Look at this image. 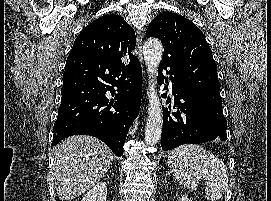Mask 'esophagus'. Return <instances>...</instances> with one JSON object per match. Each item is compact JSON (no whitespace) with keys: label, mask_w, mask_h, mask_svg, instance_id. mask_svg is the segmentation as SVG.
Here are the masks:
<instances>
[{"label":"esophagus","mask_w":271,"mask_h":201,"mask_svg":"<svg viewBox=\"0 0 271 201\" xmlns=\"http://www.w3.org/2000/svg\"><path fill=\"white\" fill-rule=\"evenodd\" d=\"M137 50H138V55L139 59L143 61V55H142V35L140 32L137 34Z\"/></svg>","instance_id":"1"}]
</instances>
